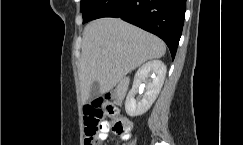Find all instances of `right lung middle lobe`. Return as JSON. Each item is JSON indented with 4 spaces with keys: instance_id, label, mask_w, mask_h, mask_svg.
<instances>
[{
    "instance_id": "obj_1",
    "label": "right lung middle lobe",
    "mask_w": 243,
    "mask_h": 145,
    "mask_svg": "<svg viewBox=\"0 0 243 145\" xmlns=\"http://www.w3.org/2000/svg\"><path fill=\"white\" fill-rule=\"evenodd\" d=\"M93 2V0H81L80 11L83 13L84 10L88 8V6ZM85 23V22H83Z\"/></svg>"
}]
</instances>
